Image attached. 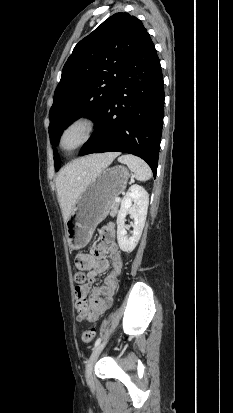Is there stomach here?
Here are the masks:
<instances>
[{
	"label": "stomach",
	"mask_w": 233,
	"mask_h": 413,
	"mask_svg": "<svg viewBox=\"0 0 233 413\" xmlns=\"http://www.w3.org/2000/svg\"><path fill=\"white\" fill-rule=\"evenodd\" d=\"M129 176L124 166L106 168L85 187L66 222L71 249L88 244L96 226L108 215L110 203L125 190Z\"/></svg>",
	"instance_id": "1"
}]
</instances>
